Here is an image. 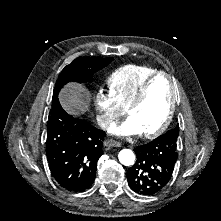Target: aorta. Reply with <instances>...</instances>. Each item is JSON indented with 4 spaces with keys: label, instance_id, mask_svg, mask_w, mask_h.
<instances>
[{
    "label": "aorta",
    "instance_id": "obj_1",
    "mask_svg": "<svg viewBox=\"0 0 221 221\" xmlns=\"http://www.w3.org/2000/svg\"><path fill=\"white\" fill-rule=\"evenodd\" d=\"M119 161L125 166H131L135 162V154L130 149H123L118 155Z\"/></svg>",
    "mask_w": 221,
    "mask_h": 221
}]
</instances>
